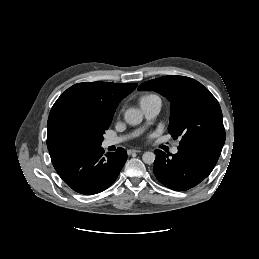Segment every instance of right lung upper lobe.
Here are the masks:
<instances>
[{
    "label": "right lung upper lobe",
    "instance_id": "1",
    "mask_svg": "<svg viewBox=\"0 0 259 259\" xmlns=\"http://www.w3.org/2000/svg\"><path fill=\"white\" fill-rule=\"evenodd\" d=\"M136 87V83L91 82L68 88L54 103L48 117V150L67 148L61 138V126L67 117L76 115L111 123L119 102Z\"/></svg>",
    "mask_w": 259,
    "mask_h": 259
}]
</instances>
